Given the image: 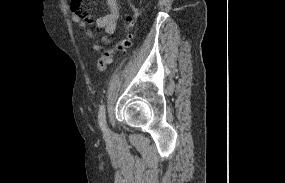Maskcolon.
Wrapping results in <instances>:
<instances>
[{
    "label": "colon",
    "mask_w": 285,
    "mask_h": 183,
    "mask_svg": "<svg viewBox=\"0 0 285 183\" xmlns=\"http://www.w3.org/2000/svg\"><path fill=\"white\" fill-rule=\"evenodd\" d=\"M72 11L79 12L80 9L74 6L72 7ZM132 24H133L132 16L128 15L125 19L124 32L120 40L117 41L113 47L102 51L99 58L97 59L95 63V69L97 72L99 73L103 72L113 62V57L115 54L124 52L126 51V49L130 47L131 45L130 28Z\"/></svg>",
    "instance_id": "1"
}]
</instances>
